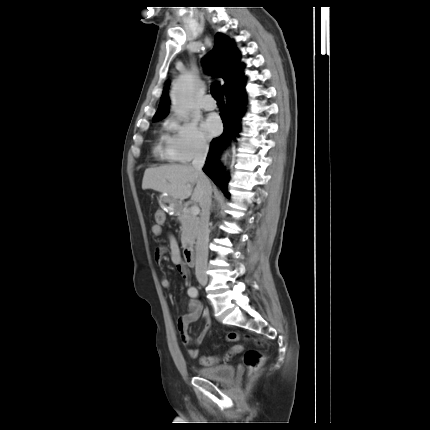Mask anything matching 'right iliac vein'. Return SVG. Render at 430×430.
Returning a JSON list of instances; mask_svg holds the SVG:
<instances>
[{"label": "right iliac vein", "mask_w": 430, "mask_h": 430, "mask_svg": "<svg viewBox=\"0 0 430 430\" xmlns=\"http://www.w3.org/2000/svg\"><path fill=\"white\" fill-rule=\"evenodd\" d=\"M198 281L201 285H206L208 282V279L206 277H201L198 279Z\"/></svg>", "instance_id": "obj_1"}]
</instances>
